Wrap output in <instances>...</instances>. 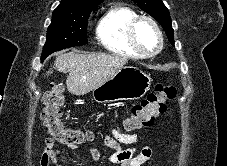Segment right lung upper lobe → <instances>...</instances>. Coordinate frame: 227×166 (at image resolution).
Masks as SVG:
<instances>
[{
    "mask_svg": "<svg viewBox=\"0 0 227 166\" xmlns=\"http://www.w3.org/2000/svg\"><path fill=\"white\" fill-rule=\"evenodd\" d=\"M103 0H62L53 13L81 12L99 5Z\"/></svg>",
    "mask_w": 227,
    "mask_h": 166,
    "instance_id": "cb5924a9",
    "label": "right lung upper lobe"
}]
</instances>
